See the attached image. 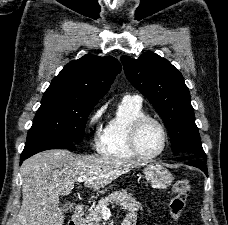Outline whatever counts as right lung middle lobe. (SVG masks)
I'll return each instance as SVG.
<instances>
[{
    "label": "right lung middle lobe",
    "mask_w": 228,
    "mask_h": 225,
    "mask_svg": "<svg viewBox=\"0 0 228 225\" xmlns=\"http://www.w3.org/2000/svg\"><path fill=\"white\" fill-rule=\"evenodd\" d=\"M96 104L59 92L46 91L28 131L27 141L56 137L81 142L88 115Z\"/></svg>",
    "instance_id": "1"
}]
</instances>
